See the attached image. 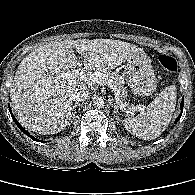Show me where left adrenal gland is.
Returning <instances> with one entry per match:
<instances>
[{"label":"left adrenal gland","instance_id":"1","mask_svg":"<svg viewBox=\"0 0 195 195\" xmlns=\"http://www.w3.org/2000/svg\"><path fill=\"white\" fill-rule=\"evenodd\" d=\"M114 114H115V117L117 118V114L119 113V107H118V104L117 102L115 103V106H114Z\"/></svg>","mask_w":195,"mask_h":195}]
</instances>
